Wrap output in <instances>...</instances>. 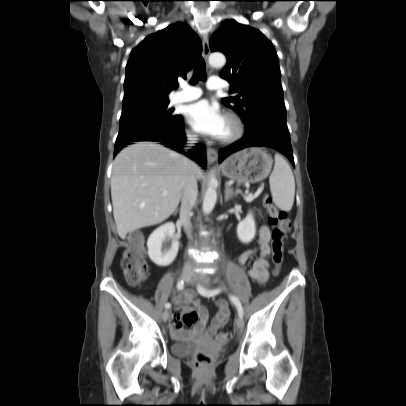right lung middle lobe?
<instances>
[{
  "mask_svg": "<svg viewBox=\"0 0 406 406\" xmlns=\"http://www.w3.org/2000/svg\"><path fill=\"white\" fill-rule=\"evenodd\" d=\"M168 104L169 100H145L123 106L117 139L172 127L180 116Z\"/></svg>",
  "mask_w": 406,
  "mask_h": 406,
  "instance_id": "obj_1",
  "label": "right lung middle lobe"
}]
</instances>
